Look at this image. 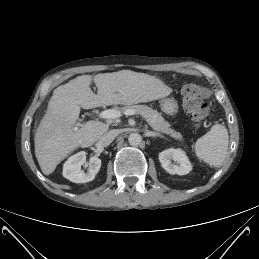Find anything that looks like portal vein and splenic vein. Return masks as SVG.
<instances>
[{"label":"portal vein and splenic vein","mask_w":259,"mask_h":259,"mask_svg":"<svg viewBox=\"0 0 259 259\" xmlns=\"http://www.w3.org/2000/svg\"><path fill=\"white\" fill-rule=\"evenodd\" d=\"M125 115H134L136 114V112L134 110H127L124 112ZM121 112L120 111H117L115 109H107V110H104L102 111L99 116L101 118H104V119H117V118H120L121 117Z\"/></svg>","instance_id":"18ae733b"}]
</instances>
